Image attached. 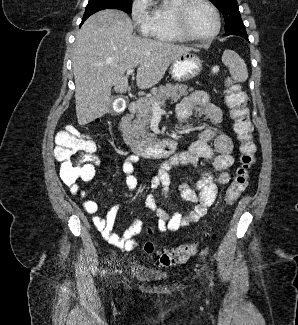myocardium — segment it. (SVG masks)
Here are the masks:
<instances>
[{"instance_id": "obj_1", "label": "myocardium", "mask_w": 298, "mask_h": 325, "mask_svg": "<svg viewBox=\"0 0 298 325\" xmlns=\"http://www.w3.org/2000/svg\"><path fill=\"white\" fill-rule=\"evenodd\" d=\"M194 4L204 6L214 18L215 29L206 39H201L192 35L184 25L185 13ZM171 27L173 32L184 40L207 44L218 36L220 32V19L215 9L205 0H174L171 4Z\"/></svg>"}]
</instances>
